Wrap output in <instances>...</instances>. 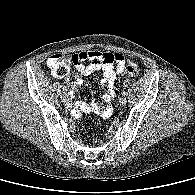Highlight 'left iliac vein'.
<instances>
[{"instance_id": "4c4485c4", "label": "left iliac vein", "mask_w": 195, "mask_h": 195, "mask_svg": "<svg viewBox=\"0 0 195 195\" xmlns=\"http://www.w3.org/2000/svg\"><path fill=\"white\" fill-rule=\"evenodd\" d=\"M126 102H127V99H126V97H124V96H122V97L119 99V104H120L121 106L125 105Z\"/></svg>"}]
</instances>
